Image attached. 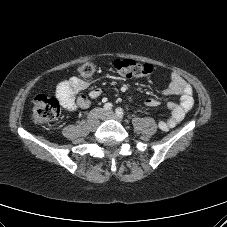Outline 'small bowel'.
<instances>
[{"label":"small bowel","mask_w":227,"mask_h":227,"mask_svg":"<svg viewBox=\"0 0 227 227\" xmlns=\"http://www.w3.org/2000/svg\"><path fill=\"white\" fill-rule=\"evenodd\" d=\"M87 88L88 83L86 81L78 77H71L58 84L56 96L62 107L68 111L73 112L78 109H86L91 105V101L98 98L102 93L101 89L94 88L88 95L82 94ZM165 94L178 95L180 100L178 102L169 101L167 103L171 115L167 120L160 122L159 127L163 131H167L181 123L186 113L191 110L194 102L192 86L177 73L171 75ZM158 104L159 100L156 97H150L145 101L147 108L156 107Z\"/></svg>","instance_id":"small-bowel-1"}]
</instances>
